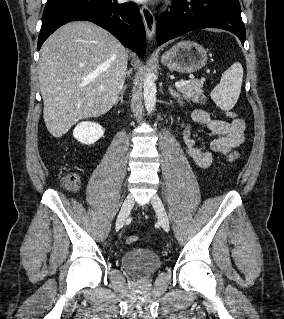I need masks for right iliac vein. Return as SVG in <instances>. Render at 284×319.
<instances>
[{
  "label": "right iliac vein",
  "mask_w": 284,
  "mask_h": 319,
  "mask_svg": "<svg viewBox=\"0 0 284 319\" xmlns=\"http://www.w3.org/2000/svg\"><path fill=\"white\" fill-rule=\"evenodd\" d=\"M134 204V197L132 194H128L125 198L120 212L118 214L117 220H116V228L120 229L123 227L124 223L126 222L128 215L133 207Z\"/></svg>",
  "instance_id": "63e3f726"
}]
</instances>
